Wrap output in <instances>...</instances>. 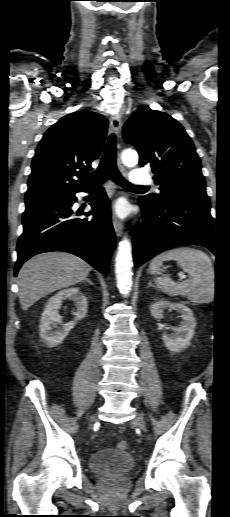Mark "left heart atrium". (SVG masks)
<instances>
[{
  "label": "left heart atrium",
  "instance_id": "39dd6f15",
  "mask_svg": "<svg viewBox=\"0 0 230 517\" xmlns=\"http://www.w3.org/2000/svg\"><path fill=\"white\" fill-rule=\"evenodd\" d=\"M116 211L119 215H125L127 213V206L125 203L120 202L116 205Z\"/></svg>",
  "mask_w": 230,
  "mask_h": 517
}]
</instances>
